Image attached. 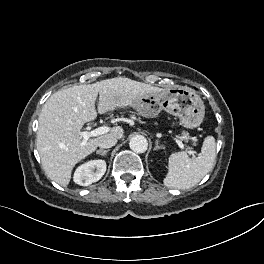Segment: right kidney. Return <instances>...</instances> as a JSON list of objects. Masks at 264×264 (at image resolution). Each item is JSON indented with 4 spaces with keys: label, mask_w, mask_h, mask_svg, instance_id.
Here are the masks:
<instances>
[{
    "label": "right kidney",
    "mask_w": 264,
    "mask_h": 264,
    "mask_svg": "<svg viewBox=\"0 0 264 264\" xmlns=\"http://www.w3.org/2000/svg\"><path fill=\"white\" fill-rule=\"evenodd\" d=\"M106 172L104 160H91L79 166L74 173V182L81 186H88L97 182Z\"/></svg>",
    "instance_id": "1"
}]
</instances>
